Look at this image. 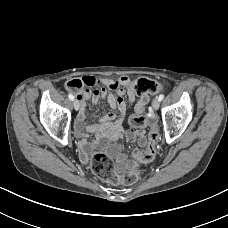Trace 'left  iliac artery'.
<instances>
[{
	"label": "left iliac artery",
	"mask_w": 228,
	"mask_h": 228,
	"mask_svg": "<svg viewBox=\"0 0 228 228\" xmlns=\"http://www.w3.org/2000/svg\"><path fill=\"white\" fill-rule=\"evenodd\" d=\"M163 98H164V95L163 94H160L159 97H158L159 101H162Z\"/></svg>",
	"instance_id": "obj_1"
}]
</instances>
